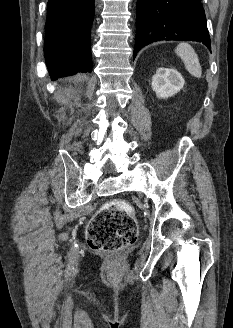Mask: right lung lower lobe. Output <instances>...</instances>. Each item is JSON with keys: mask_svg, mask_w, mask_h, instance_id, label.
Returning <instances> with one entry per match:
<instances>
[{"mask_svg": "<svg viewBox=\"0 0 233 328\" xmlns=\"http://www.w3.org/2000/svg\"><path fill=\"white\" fill-rule=\"evenodd\" d=\"M94 0H49L44 55L52 80L92 70Z\"/></svg>", "mask_w": 233, "mask_h": 328, "instance_id": "right-lung-lower-lobe-1", "label": "right lung lower lobe"}]
</instances>
